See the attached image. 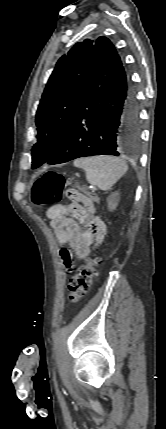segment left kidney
Returning <instances> with one entry per match:
<instances>
[{"label": "left kidney", "mask_w": 166, "mask_h": 429, "mask_svg": "<svg viewBox=\"0 0 166 429\" xmlns=\"http://www.w3.org/2000/svg\"><path fill=\"white\" fill-rule=\"evenodd\" d=\"M119 192H114L107 198L108 209L114 211L119 203Z\"/></svg>", "instance_id": "left-kidney-1"}]
</instances>
